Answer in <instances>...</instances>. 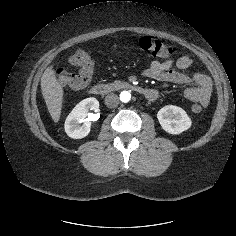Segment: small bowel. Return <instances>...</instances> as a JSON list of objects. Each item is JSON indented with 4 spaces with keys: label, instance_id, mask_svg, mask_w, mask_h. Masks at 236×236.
<instances>
[{
    "label": "small bowel",
    "instance_id": "1",
    "mask_svg": "<svg viewBox=\"0 0 236 236\" xmlns=\"http://www.w3.org/2000/svg\"><path fill=\"white\" fill-rule=\"evenodd\" d=\"M193 64V60L188 56H181L178 58L168 59L166 61H153L149 67L145 70L146 77L167 83H173L176 85H189L184 90V96L187 100L200 104L205 107L209 104L212 94V80L209 76L195 72L191 75L185 74L182 71L190 68ZM150 100H156L158 98V92Z\"/></svg>",
    "mask_w": 236,
    "mask_h": 236
}]
</instances>
